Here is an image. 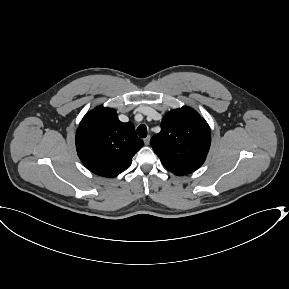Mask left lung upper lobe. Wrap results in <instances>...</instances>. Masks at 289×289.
<instances>
[{
  "label": "left lung upper lobe",
  "mask_w": 289,
  "mask_h": 289,
  "mask_svg": "<svg viewBox=\"0 0 289 289\" xmlns=\"http://www.w3.org/2000/svg\"><path fill=\"white\" fill-rule=\"evenodd\" d=\"M210 142L207 122L194 109L184 106L164 116L161 132L152 137L151 146L169 171L184 175L204 163Z\"/></svg>",
  "instance_id": "1"
}]
</instances>
